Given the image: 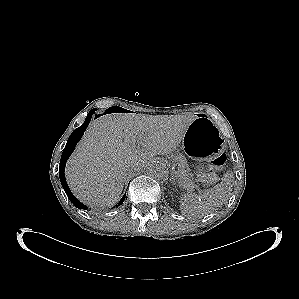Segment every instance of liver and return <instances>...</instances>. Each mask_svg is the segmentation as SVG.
<instances>
[{"label": "liver", "instance_id": "obj_1", "mask_svg": "<svg viewBox=\"0 0 299 299\" xmlns=\"http://www.w3.org/2000/svg\"><path fill=\"white\" fill-rule=\"evenodd\" d=\"M194 119V115L116 113L92 121L66 165L70 189L87 205H114L130 167L140 170L156 155L176 150Z\"/></svg>", "mask_w": 299, "mask_h": 299}]
</instances>
